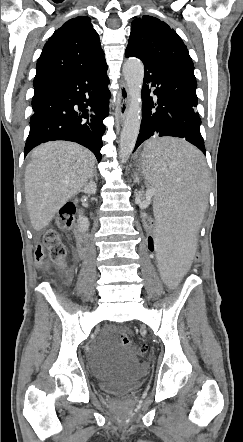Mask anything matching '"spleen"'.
<instances>
[{
  "label": "spleen",
  "instance_id": "1",
  "mask_svg": "<svg viewBox=\"0 0 243 442\" xmlns=\"http://www.w3.org/2000/svg\"><path fill=\"white\" fill-rule=\"evenodd\" d=\"M139 177L154 184V209L159 239L154 253L160 274L169 286L183 280L190 252L205 214L206 168L201 152L184 140L152 139L140 155Z\"/></svg>",
  "mask_w": 243,
  "mask_h": 442
}]
</instances>
